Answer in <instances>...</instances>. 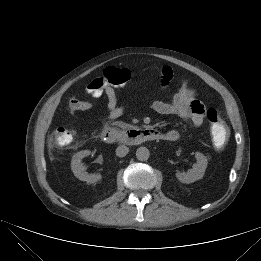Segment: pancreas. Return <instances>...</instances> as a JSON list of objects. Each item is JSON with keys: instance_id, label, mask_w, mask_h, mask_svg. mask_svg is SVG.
I'll use <instances>...</instances> for the list:
<instances>
[{"instance_id": "1", "label": "pancreas", "mask_w": 261, "mask_h": 261, "mask_svg": "<svg viewBox=\"0 0 261 261\" xmlns=\"http://www.w3.org/2000/svg\"><path fill=\"white\" fill-rule=\"evenodd\" d=\"M113 125H115L118 129L127 130L130 125L123 122V121H115L113 122Z\"/></svg>"}]
</instances>
